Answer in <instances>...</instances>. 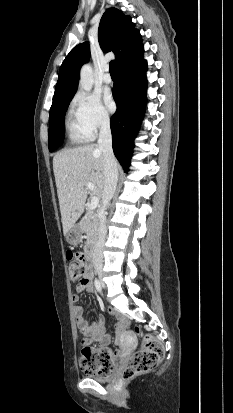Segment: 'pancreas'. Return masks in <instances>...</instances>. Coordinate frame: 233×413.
Listing matches in <instances>:
<instances>
[{
  "label": "pancreas",
  "mask_w": 233,
  "mask_h": 413,
  "mask_svg": "<svg viewBox=\"0 0 233 413\" xmlns=\"http://www.w3.org/2000/svg\"><path fill=\"white\" fill-rule=\"evenodd\" d=\"M98 217L93 212H88L80 221L79 227L87 235L88 242H95L98 236Z\"/></svg>",
  "instance_id": "pancreas-1"
}]
</instances>
